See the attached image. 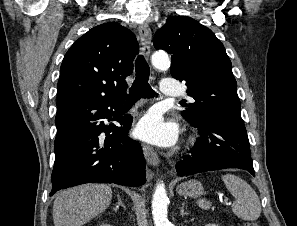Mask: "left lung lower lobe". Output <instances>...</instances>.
<instances>
[{"label": "left lung lower lobe", "instance_id": "0a47b994", "mask_svg": "<svg viewBox=\"0 0 297 226\" xmlns=\"http://www.w3.org/2000/svg\"><path fill=\"white\" fill-rule=\"evenodd\" d=\"M200 138L190 155L177 162L178 176L225 169L240 168L255 176L248 136L241 118L211 116L199 123Z\"/></svg>", "mask_w": 297, "mask_h": 226}]
</instances>
